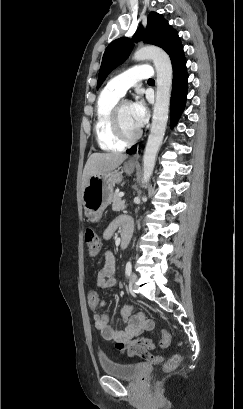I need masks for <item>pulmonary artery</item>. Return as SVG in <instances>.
Masks as SVG:
<instances>
[{"label": "pulmonary artery", "instance_id": "1", "mask_svg": "<svg viewBox=\"0 0 243 409\" xmlns=\"http://www.w3.org/2000/svg\"><path fill=\"white\" fill-rule=\"evenodd\" d=\"M153 76L149 68L144 65H139L130 68L129 70L115 76L107 83V87L120 96H124L129 88L134 86L142 79H147Z\"/></svg>", "mask_w": 243, "mask_h": 409}]
</instances>
